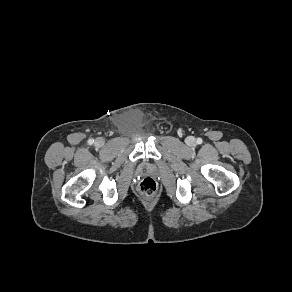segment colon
<instances>
[{"label":"colon","mask_w":292,"mask_h":292,"mask_svg":"<svg viewBox=\"0 0 292 292\" xmlns=\"http://www.w3.org/2000/svg\"><path fill=\"white\" fill-rule=\"evenodd\" d=\"M157 188L156 181L150 177L144 178L139 185L140 192L148 197L153 196L156 193Z\"/></svg>","instance_id":"5ec220e1"}]
</instances>
